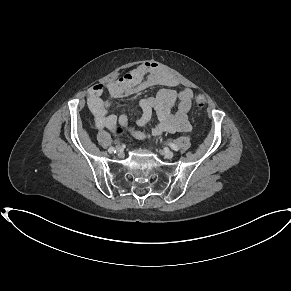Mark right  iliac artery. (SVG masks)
Instances as JSON below:
<instances>
[{
  "instance_id": "right-iliac-artery-1",
  "label": "right iliac artery",
  "mask_w": 291,
  "mask_h": 291,
  "mask_svg": "<svg viewBox=\"0 0 291 291\" xmlns=\"http://www.w3.org/2000/svg\"><path fill=\"white\" fill-rule=\"evenodd\" d=\"M108 152H109V153H115V152H116V148H115V147H110V148L108 149Z\"/></svg>"
}]
</instances>
